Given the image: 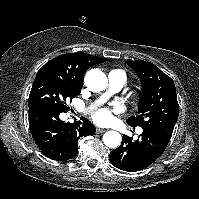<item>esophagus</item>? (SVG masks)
I'll use <instances>...</instances> for the list:
<instances>
[{
    "instance_id": "obj_1",
    "label": "esophagus",
    "mask_w": 199,
    "mask_h": 199,
    "mask_svg": "<svg viewBox=\"0 0 199 199\" xmlns=\"http://www.w3.org/2000/svg\"><path fill=\"white\" fill-rule=\"evenodd\" d=\"M106 131V129H103V128H97L96 129V133L97 134H101V133H103V132H105Z\"/></svg>"
}]
</instances>
